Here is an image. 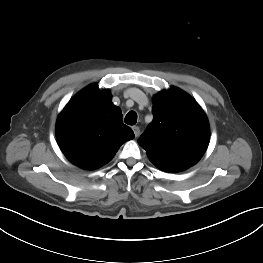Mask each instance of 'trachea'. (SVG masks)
Instances as JSON below:
<instances>
[{
  "label": "trachea",
  "instance_id": "obj_1",
  "mask_svg": "<svg viewBox=\"0 0 263 263\" xmlns=\"http://www.w3.org/2000/svg\"><path fill=\"white\" fill-rule=\"evenodd\" d=\"M124 121L128 125H135L137 122V113L135 111L128 112Z\"/></svg>",
  "mask_w": 263,
  "mask_h": 263
}]
</instances>
